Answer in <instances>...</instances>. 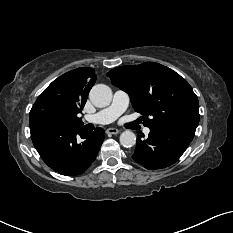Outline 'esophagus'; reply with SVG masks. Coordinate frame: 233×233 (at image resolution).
I'll return each instance as SVG.
<instances>
[{"label":"esophagus","instance_id":"obj_1","mask_svg":"<svg viewBox=\"0 0 233 233\" xmlns=\"http://www.w3.org/2000/svg\"><path fill=\"white\" fill-rule=\"evenodd\" d=\"M106 132L108 135H116L119 133V130L117 128H109V129H107Z\"/></svg>","mask_w":233,"mask_h":233}]
</instances>
